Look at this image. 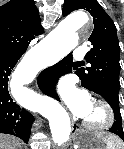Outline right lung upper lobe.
Listing matches in <instances>:
<instances>
[{
    "instance_id": "obj_1",
    "label": "right lung upper lobe",
    "mask_w": 124,
    "mask_h": 149,
    "mask_svg": "<svg viewBox=\"0 0 124 149\" xmlns=\"http://www.w3.org/2000/svg\"><path fill=\"white\" fill-rule=\"evenodd\" d=\"M34 0H10L0 6V56L24 53L43 32Z\"/></svg>"
}]
</instances>
